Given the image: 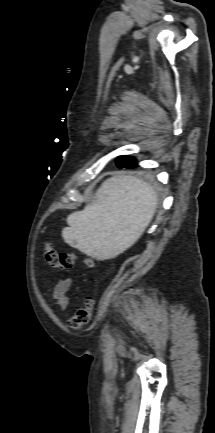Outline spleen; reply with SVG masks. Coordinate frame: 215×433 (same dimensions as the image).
<instances>
[{
    "instance_id": "obj_1",
    "label": "spleen",
    "mask_w": 215,
    "mask_h": 433,
    "mask_svg": "<svg viewBox=\"0 0 215 433\" xmlns=\"http://www.w3.org/2000/svg\"><path fill=\"white\" fill-rule=\"evenodd\" d=\"M157 195L131 176L112 177L98 190L94 203L67 217L64 241L84 254L112 258L129 248L153 218Z\"/></svg>"
}]
</instances>
